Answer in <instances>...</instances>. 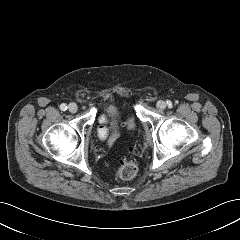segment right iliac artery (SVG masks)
Instances as JSON below:
<instances>
[{
    "label": "right iliac artery",
    "mask_w": 240,
    "mask_h": 240,
    "mask_svg": "<svg viewBox=\"0 0 240 240\" xmlns=\"http://www.w3.org/2000/svg\"><path fill=\"white\" fill-rule=\"evenodd\" d=\"M60 109L62 110V111H65V110H67V105L66 104H61L60 105Z\"/></svg>",
    "instance_id": "right-iliac-artery-1"
}]
</instances>
